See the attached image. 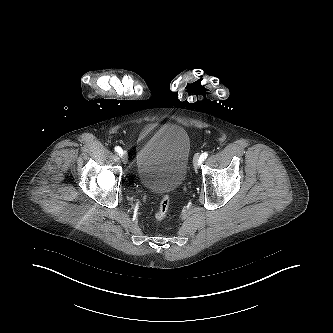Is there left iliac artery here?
Masks as SVG:
<instances>
[{
	"label": "left iliac artery",
	"instance_id": "44dca946",
	"mask_svg": "<svg viewBox=\"0 0 333 333\" xmlns=\"http://www.w3.org/2000/svg\"><path fill=\"white\" fill-rule=\"evenodd\" d=\"M208 157V153L204 152L199 157V162L202 163Z\"/></svg>",
	"mask_w": 333,
	"mask_h": 333
}]
</instances>
